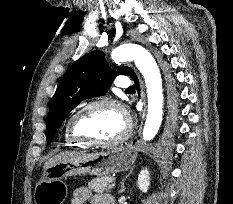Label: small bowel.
Wrapping results in <instances>:
<instances>
[{
  "instance_id": "c3829d8e",
  "label": "small bowel",
  "mask_w": 233,
  "mask_h": 204,
  "mask_svg": "<svg viewBox=\"0 0 233 204\" xmlns=\"http://www.w3.org/2000/svg\"><path fill=\"white\" fill-rule=\"evenodd\" d=\"M90 201L91 204H114V199L109 194H93L87 187L75 189L72 195V204H85Z\"/></svg>"
}]
</instances>
